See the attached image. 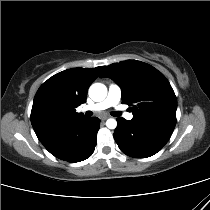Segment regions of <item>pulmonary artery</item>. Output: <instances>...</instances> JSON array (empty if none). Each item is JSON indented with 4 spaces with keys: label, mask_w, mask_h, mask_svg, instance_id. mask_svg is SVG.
I'll use <instances>...</instances> for the list:
<instances>
[{
    "label": "pulmonary artery",
    "mask_w": 210,
    "mask_h": 210,
    "mask_svg": "<svg viewBox=\"0 0 210 210\" xmlns=\"http://www.w3.org/2000/svg\"><path fill=\"white\" fill-rule=\"evenodd\" d=\"M121 99V89L118 85L116 84H111L108 89V94L106 98L98 103L92 104V105H87L83 108L85 111H102L107 108L116 106ZM124 117L128 120H131L133 118L132 113H124Z\"/></svg>",
    "instance_id": "pulmonary-artery-1"
}]
</instances>
